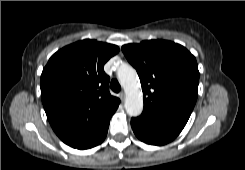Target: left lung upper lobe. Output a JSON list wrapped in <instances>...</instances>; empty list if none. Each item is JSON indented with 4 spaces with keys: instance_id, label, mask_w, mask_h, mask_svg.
Listing matches in <instances>:
<instances>
[{
    "instance_id": "left-lung-upper-lobe-1",
    "label": "left lung upper lobe",
    "mask_w": 245,
    "mask_h": 170,
    "mask_svg": "<svg viewBox=\"0 0 245 170\" xmlns=\"http://www.w3.org/2000/svg\"><path fill=\"white\" fill-rule=\"evenodd\" d=\"M122 51L139 75L144 110L187 123L198 95L195 57L185 47L165 40L127 44Z\"/></svg>"
}]
</instances>
